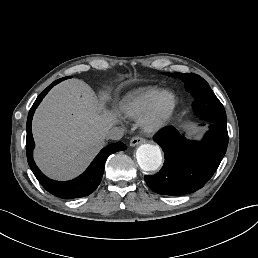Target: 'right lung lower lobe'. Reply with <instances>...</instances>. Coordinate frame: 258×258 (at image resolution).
<instances>
[{"label": "right lung lower lobe", "instance_id": "obj_1", "mask_svg": "<svg viewBox=\"0 0 258 258\" xmlns=\"http://www.w3.org/2000/svg\"><path fill=\"white\" fill-rule=\"evenodd\" d=\"M68 77L61 78L56 80L51 85H49L36 99L33 106L31 107L28 119H27V139H26V154L29 166L33 171L35 177L40 182V184L51 194L56 197L62 199H74L85 197L91 194L100 184L104 168L105 162L109 155L112 153L118 152L120 150H125L126 146L121 143H114L105 148H103L100 153L95 157L90 166L85 170L83 174H81L76 179L66 182H59L46 177L36 166L33 160V149H34V140L32 136L31 130V121L35 109L40 104L42 99L48 93V91L57 83L61 82Z\"/></svg>", "mask_w": 258, "mask_h": 258}]
</instances>
